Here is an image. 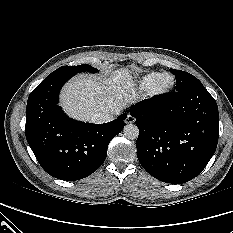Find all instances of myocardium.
<instances>
[{"instance_id": "myocardium-1", "label": "myocardium", "mask_w": 233, "mask_h": 233, "mask_svg": "<svg viewBox=\"0 0 233 233\" xmlns=\"http://www.w3.org/2000/svg\"><path fill=\"white\" fill-rule=\"evenodd\" d=\"M164 77H169L170 82L166 86H161L160 82ZM175 83H176V80H175V76L173 74H171L170 72H163L157 77V79L155 80V82L151 86V88L149 90V94L152 97H160V96L166 95L167 93H169L173 90Z\"/></svg>"}]
</instances>
